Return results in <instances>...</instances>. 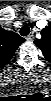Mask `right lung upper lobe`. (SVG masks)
Segmentation results:
<instances>
[{
  "instance_id": "right-lung-upper-lobe-1",
  "label": "right lung upper lobe",
  "mask_w": 51,
  "mask_h": 101,
  "mask_svg": "<svg viewBox=\"0 0 51 101\" xmlns=\"http://www.w3.org/2000/svg\"><path fill=\"white\" fill-rule=\"evenodd\" d=\"M24 41V38L17 33L0 27V66L5 65L13 57L17 48Z\"/></svg>"
}]
</instances>
